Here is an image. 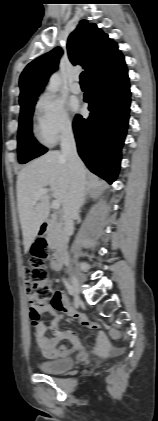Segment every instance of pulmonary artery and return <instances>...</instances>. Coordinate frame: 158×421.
Returning a JSON list of instances; mask_svg holds the SVG:
<instances>
[{"instance_id": "e3ab8cb5", "label": "pulmonary artery", "mask_w": 158, "mask_h": 421, "mask_svg": "<svg viewBox=\"0 0 158 421\" xmlns=\"http://www.w3.org/2000/svg\"><path fill=\"white\" fill-rule=\"evenodd\" d=\"M71 91L75 94H78L81 92V86L79 84L78 78H76L75 81L72 83Z\"/></svg>"}]
</instances>
